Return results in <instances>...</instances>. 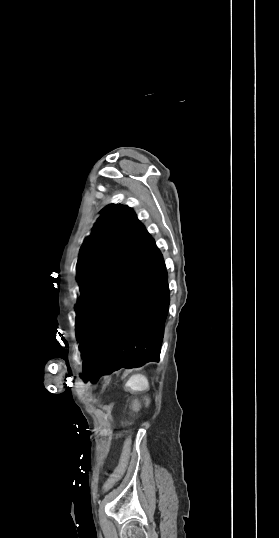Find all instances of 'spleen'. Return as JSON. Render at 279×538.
<instances>
[{"mask_svg":"<svg viewBox=\"0 0 279 538\" xmlns=\"http://www.w3.org/2000/svg\"><path fill=\"white\" fill-rule=\"evenodd\" d=\"M149 379H144L142 376L139 378L128 379L129 392L131 394H145L148 393Z\"/></svg>","mask_w":279,"mask_h":538,"instance_id":"spleen-1","label":"spleen"}]
</instances>
